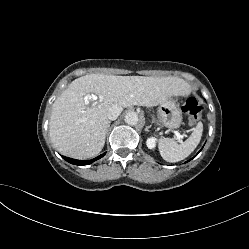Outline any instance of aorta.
I'll use <instances>...</instances> for the list:
<instances>
[{"label": "aorta", "mask_w": 249, "mask_h": 249, "mask_svg": "<svg viewBox=\"0 0 249 249\" xmlns=\"http://www.w3.org/2000/svg\"><path fill=\"white\" fill-rule=\"evenodd\" d=\"M125 122L128 124V125H136L138 123V114L136 112H128L126 115H125Z\"/></svg>", "instance_id": "762f6f07"}]
</instances>
